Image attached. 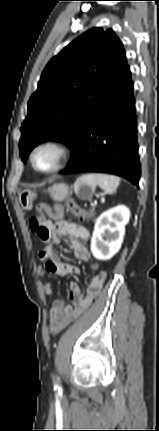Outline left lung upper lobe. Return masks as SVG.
Listing matches in <instances>:
<instances>
[{
  "label": "left lung upper lobe",
  "mask_w": 159,
  "mask_h": 431,
  "mask_svg": "<svg viewBox=\"0 0 159 431\" xmlns=\"http://www.w3.org/2000/svg\"><path fill=\"white\" fill-rule=\"evenodd\" d=\"M129 73L123 45L113 30L92 28L53 57L28 102L20 156L49 139L71 150L88 121Z\"/></svg>",
  "instance_id": "left-lung-upper-lobe-1"
}]
</instances>
